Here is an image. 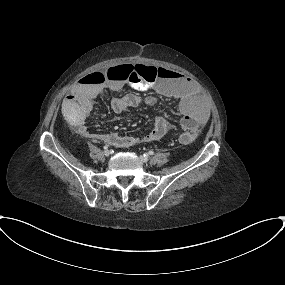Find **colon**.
<instances>
[{
	"instance_id": "1",
	"label": "colon",
	"mask_w": 285,
	"mask_h": 285,
	"mask_svg": "<svg viewBox=\"0 0 285 285\" xmlns=\"http://www.w3.org/2000/svg\"><path fill=\"white\" fill-rule=\"evenodd\" d=\"M158 75L159 70L154 67L142 65H122L117 68H108L106 70L84 73L80 80H82V82L91 84H102L107 79L120 77L136 83H141L143 81L153 82L157 79ZM193 140V133H183L179 139L180 143L182 144H189Z\"/></svg>"
}]
</instances>
